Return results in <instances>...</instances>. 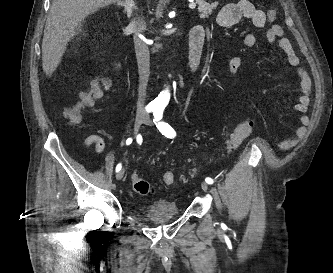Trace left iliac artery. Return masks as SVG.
Returning <instances> with one entry per match:
<instances>
[{
  "label": "left iliac artery",
  "mask_w": 333,
  "mask_h": 273,
  "mask_svg": "<svg viewBox=\"0 0 333 273\" xmlns=\"http://www.w3.org/2000/svg\"><path fill=\"white\" fill-rule=\"evenodd\" d=\"M154 119L153 122L156 124L159 131L165 135L167 138H174L176 136L175 130L166 122L161 121L163 117V110L162 109H155L153 111ZM206 183L213 184V179L207 177L205 179Z\"/></svg>",
  "instance_id": "1"
}]
</instances>
